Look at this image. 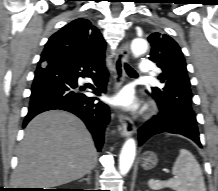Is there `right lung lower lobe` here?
<instances>
[{"label":"right lung lower lobe","instance_id":"right-lung-lower-lobe-1","mask_svg":"<svg viewBox=\"0 0 218 191\" xmlns=\"http://www.w3.org/2000/svg\"><path fill=\"white\" fill-rule=\"evenodd\" d=\"M90 76L93 93H105L107 75L104 56L79 58L56 50L43 51L31 88L28 114L23 127L37 114L48 110H65L83 120L93 135L100 151L103 145L104 127L109 122L108 106L96 97H89L77 89L78 77Z\"/></svg>","mask_w":218,"mask_h":191}]
</instances>
